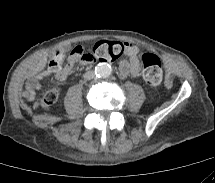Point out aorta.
I'll use <instances>...</instances> for the list:
<instances>
[{
	"label": "aorta",
	"instance_id": "1",
	"mask_svg": "<svg viewBox=\"0 0 215 183\" xmlns=\"http://www.w3.org/2000/svg\"><path fill=\"white\" fill-rule=\"evenodd\" d=\"M112 73V68L109 64L107 63H99L96 67H95V74L98 77H108L110 76Z\"/></svg>",
	"mask_w": 215,
	"mask_h": 183
}]
</instances>
